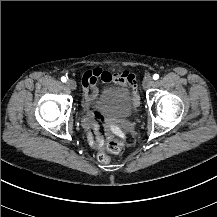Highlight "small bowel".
I'll return each instance as SVG.
<instances>
[{
    "instance_id": "1",
    "label": "small bowel",
    "mask_w": 217,
    "mask_h": 217,
    "mask_svg": "<svg viewBox=\"0 0 217 217\" xmlns=\"http://www.w3.org/2000/svg\"><path fill=\"white\" fill-rule=\"evenodd\" d=\"M135 75L129 70L112 73L110 71L87 70L84 72L81 83L83 85V96L90 105L91 115H86L83 119V126L88 132V142L92 149L100 151L104 148L106 141L112 139L113 135L123 137L124 122H111L94 109L93 101L95 99V89L87 86H95L98 81L104 82L107 86L122 91L129 96L134 105L137 104V95L135 91ZM94 89V91H92ZM100 122L106 125L105 135L101 133Z\"/></svg>"
}]
</instances>
